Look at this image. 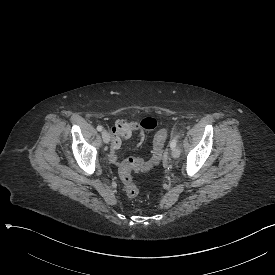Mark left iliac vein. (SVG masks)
<instances>
[{
    "label": "left iliac vein",
    "instance_id": "left-iliac-vein-1",
    "mask_svg": "<svg viewBox=\"0 0 275 275\" xmlns=\"http://www.w3.org/2000/svg\"><path fill=\"white\" fill-rule=\"evenodd\" d=\"M171 154H172L173 158H179V156H180V149H179V147L173 148Z\"/></svg>",
    "mask_w": 275,
    "mask_h": 275
}]
</instances>
